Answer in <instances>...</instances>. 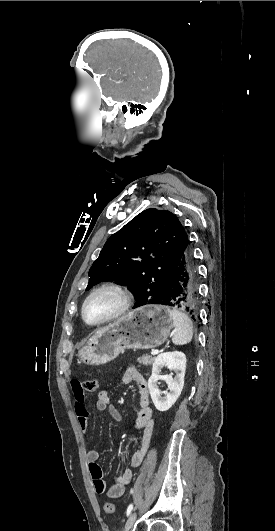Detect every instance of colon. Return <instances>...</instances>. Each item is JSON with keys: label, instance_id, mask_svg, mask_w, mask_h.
Here are the masks:
<instances>
[{"label": "colon", "instance_id": "colon-1", "mask_svg": "<svg viewBox=\"0 0 275 531\" xmlns=\"http://www.w3.org/2000/svg\"><path fill=\"white\" fill-rule=\"evenodd\" d=\"M98 384H99V381L97 378L85 380V384H84L85 392L95 393L98 390ZM105 508L108 513H113L115 510V506L112 503H106Z\"/></svg>", "mask_w": 275, "mask_h": 531}]
</instances>
